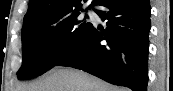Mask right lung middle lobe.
Masks as SVG:
<instances>
[{"instance_id":"1","label":"right lung middle lobe","mask_w":173,"mask_h":91,"mask_svg":"<svg viewBox=\"0 0 173 91\" xmlns=\"http://www.w3.org/2000/svg\"><path fill=\"white\" fill-rule=\"evenodd\" d=\"M90 8V7H89ZM92 23L74 12L67 16L29 25L22 29V66L19 79L42 75L84 38Z\"/></svg>"}]
</instances>
